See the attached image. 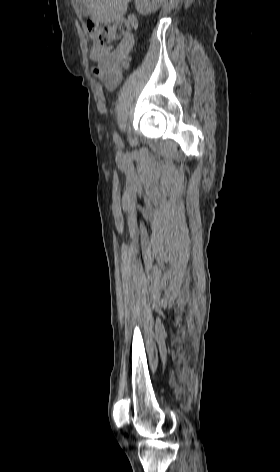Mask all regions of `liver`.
<instances>
[{"mask_svg":"<svg viewBox=\"0 0 280 472\" xmlns=\"http://www.w3.org/2000/svg\"><path fill=\"white\" fill-rule=\"evenodd\" d=\"M131 0H83L86 12L98 23L108 24L120 21L127 11Z\"/></svg>","mask_w":280,"mask_h":472,"instance_id":"obj_1","label":"liver"}]
</instances>
